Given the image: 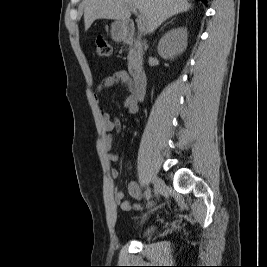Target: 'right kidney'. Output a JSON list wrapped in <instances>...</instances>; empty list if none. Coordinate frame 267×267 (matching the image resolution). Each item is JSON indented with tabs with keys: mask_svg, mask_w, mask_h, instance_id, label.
I'll list each match as a JSON object with an SVG mask.
<instances>
[{
	"mask_svg": "<svg viewBox=\"0 0 267 267\" xmlns=\"http://www.w3.org/2000/svg\"><path fill=\"white\" fill-rule=\"evenodd\" d=\"M187 28L177 27L169 30L158 43V53L164 59H174L187 47Z\"/></svg>",
	"mask_w": 267,
	"mask_h": 267,
	"instance_id": "obj_1",
	"label": "right kidney"
}]
</instances>
